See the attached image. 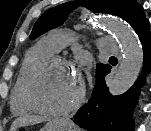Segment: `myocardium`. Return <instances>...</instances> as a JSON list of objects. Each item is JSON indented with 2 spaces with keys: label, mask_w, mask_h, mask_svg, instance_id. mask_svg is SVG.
I'll use <instances>...</instances> for the list:
<instances>
[{
  "label": "myocardium",
  "mask_w": 151,
  "mask_h": 131,
  "mask_svg": "<svg viewBox=\"0 0 151 131\" xmlns=\"http://www.w3.org/2000/svg\"><path fill=\"white\" fill-rule=\"evenodd\" d=\"M55 65H65L76 72L74 65L69 60L60 55H51L36 63L30 69L27 75L24 88L25 101L34 112L49 116L63 115L76 109L84 99L85 86L82 79L80 78V88L78 90V93L67 104L58 108H49L40 103L34 92L35 80L44 71L48 70L49 68Z\"/></svg>",
  "instance_id": "myocardium-1"
}]
</instances>
